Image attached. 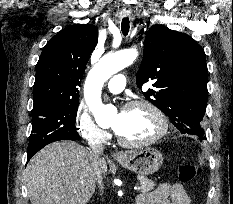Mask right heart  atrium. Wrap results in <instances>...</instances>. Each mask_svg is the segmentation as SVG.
Instances as JSON below:
<instances>
[{
  "label": "right heart atrium",
  "instance_id": "1",
  "mask_svg": "<svg viewBox=\"0 0 233 204\" xmlns=\"http://www.w3.org/2000/svg\"><path fill=\"white\" fill-rule=\"evenodd\" d=\"M74 124L79 136L90 144L104 143L110 137L106 130L96 124L89 111L83 106L77 108Z\"/></svg>",
  "mask_w": 233,
  "mask_h": 204
}]
</instances>
